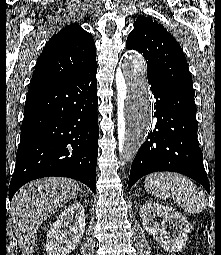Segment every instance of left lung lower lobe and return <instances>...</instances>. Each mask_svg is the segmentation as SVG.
I'll use <instances>...</instances> for the list:
<instances>
[{
  "mask_svg": "<svg viewBox=\"0 0 221 255\" xmlns=\"http://www.w3.org/2000/svg\"><path fill=\"white\" fill-rule=\"evenodd\" d=\"M148 82L156 98L157 123L133 160L129 189L144 175L172 171L189 176L209 192L203 154L197 142L194 97L152 79Z\"/></svg>",
  "mask_w": 221,
  "mask_h": 255,
  "instance_id": "obj_1",
  "label": "left lung lower lobe"
}]
</instances>
